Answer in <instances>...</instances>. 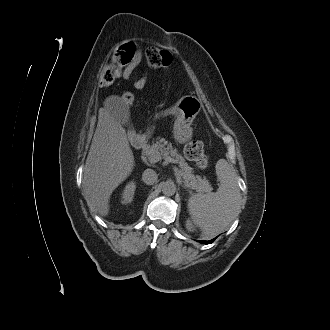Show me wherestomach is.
<instances>
[{"mask_svg": "<svg viewBox=\"0 0 330 330\" xmlns=\"http://www.w3.org/2000/svg\"><path fill=\"white\" fill-rule=\"evenodd\" d=\"M202 108V102L193 95H186L180 98L171 113L176 116L173 127L174 138L179 143L191 140L193 129L191 123Z\"/></svg>", "mask_w": 330, "mask_h": 330, "instance_id": "obj_1", "label": "stomach"}]
</instances>
